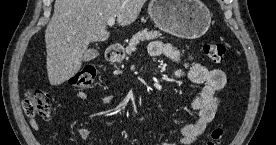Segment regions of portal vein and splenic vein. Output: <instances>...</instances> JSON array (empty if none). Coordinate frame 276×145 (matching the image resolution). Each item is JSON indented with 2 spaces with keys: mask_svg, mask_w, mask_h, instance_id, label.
<instances>
[{
  "mask_svg": "<svg viewBox=\"0 0 276 145\" xmlns=\"http://www.w3.org/2000/svg\"><path fill=\"white\" fill-rule=\"evenodd\" d=\"M107 24L109 26H113L115 24V17H111L107 20Z\"/></svg>",
  "mask_w": 276,
  "mask_h": 145,
  "instance_id": "portal-vein-and-splenic-vein-1",
  "label": "portal vein and splenic vein"
}]
</instances>
